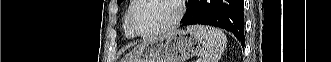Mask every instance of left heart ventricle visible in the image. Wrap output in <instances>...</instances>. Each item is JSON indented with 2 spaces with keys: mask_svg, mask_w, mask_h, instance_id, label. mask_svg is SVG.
<instances>
[{
  "mask_svg": "<svg viewBox=\"0 0 331 62\" xmlns=\"http://www.w3.org/2000/svg\"><path fill=\"white\" fill-rule=\"evenodd\" d=\"M177 14L173 0H143L134 12V24L142 32L159 29Z\"/></svg>",
  "mask_w": 331,
  "mask_h": 62,
  "instance_id": "obj_1",
  "label": "left heart ventricle"
}]
</instances>
